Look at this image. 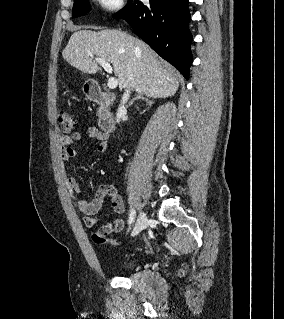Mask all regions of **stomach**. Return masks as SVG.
<instances>
[{"label":"stomach","instance_id":"1","mask_svg":"<svg viewBox=\"0 0 284 319\" xmlns=\"http://www.w3.org/2000/svg\"><path fill=\"white\" fill-rule=\"evenodd\" d=\"M83 91L85 93H87L89 91V85H88V81L85 83L84 87H83Z\"/></svg>","mask_w":284,"mask_h":319}]
</instances>
